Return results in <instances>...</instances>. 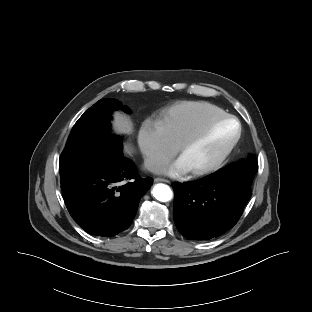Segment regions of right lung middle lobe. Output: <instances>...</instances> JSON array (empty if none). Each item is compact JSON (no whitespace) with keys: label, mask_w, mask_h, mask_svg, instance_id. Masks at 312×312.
<instances>
[{"label":"right lung middle lobe","mask_w":312,"mask_h":312,"mask_svg":"<svg viewBox=\"0 0 312 312\" xmlns=\"http://www.w3.org/2000/svg\"><path fill=\"white\" fill-rule=\"evenodd\" d=\"M115 110L129 112L118 100L101 99L75 123L60 157L61 184L121 151V139L110 132V119Z\"/></svg>","instance_id":"1"}]
</instances>
